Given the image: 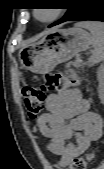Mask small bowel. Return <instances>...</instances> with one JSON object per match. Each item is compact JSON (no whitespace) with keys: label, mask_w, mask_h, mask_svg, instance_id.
Instances as JSON below:
<instances>
[{"label":"small bowel","mask_w":104,"mask_h":169,"mask_svg":"<svg viewBox=\"0 0 104 169\" xmlns=\"http://www.w3.org/2000/svg\"><path fill=\"white\" fill-rule=\"evenodd\" d=\"M47 112L37 120L43 136L48 138L49 150L60 157L59 165L66 166L83 153L102 135L101 117L90 111L88 100L80 90L63 89L46 98ZM75 137V143H68Z\"/></svg>","instance_id":"small-bowel-1"}]
</instances>
